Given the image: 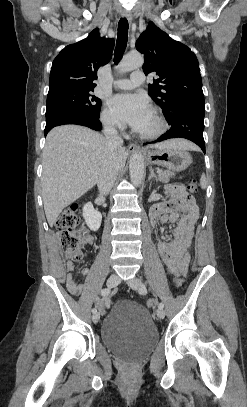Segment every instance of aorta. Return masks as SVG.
Here are the masks:
<instances>
[{
  "label": "aorta",
  "instance_id": "obj_1",
  "mask_svg": "<svg viewBox=\"0 0 247 407\" xmlns=\"http://www.w3.org/2000/svg\"><path fill=\"white\" fill-rule=\"evenodd\" d=\"M143 63L144 58L140 53H130L122 59L117 69L120 73H127L141 67ZM129 171L131 182L135 186H139L144 177V160L141 154L134 153L131 155Z\"/></svg>",
  "mask_w": 247,
  "mask_h": 407
}]
</instances>
